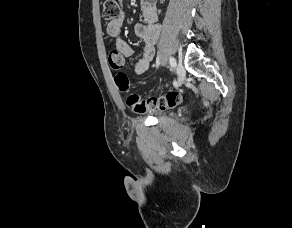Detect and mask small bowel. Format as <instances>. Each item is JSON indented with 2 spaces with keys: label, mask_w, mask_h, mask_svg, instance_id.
<instances>
[{
  "label": "small bowel",
  "mask_w": 292,
  "mask_h": 228,
  "mask_svg": "<svg viewBox=\"0 0 292 228\" xmlns=\"http://www.w3.org/2000/svg\"><path fill=\"white\" fill-rule=\"evenodd\" d=\"M141 13L143 22L134 27V34L142 40V54L134 66V72L137 75L145 73L155 54V45L159 36L160 26L158 24L157 11L155 5L150 0L141 2ZM124 15L112 21L107 26L109 36L115 38V52L122 59L130 57L134 54V50L129 43L119 37L123 24Z\"/></svg>",
  "instance_id": "small-bowel-1"
}]
</instances>
